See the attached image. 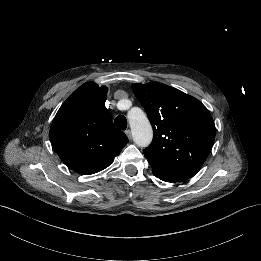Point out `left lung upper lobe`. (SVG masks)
Wrapping results in <instances>:
<instances>
[{
	"label": "left lung upper lobe",
	"mask_w": 261,
	"mask_h": 261,
	"mask_svg": "<svg viewBox=\"0 0 261 261\" xmlns=\"http://www.w3.org/2000/svg\"><path fill=\"white\" fill-rule=\"evenodd\" d=\"M152 124V143L144 156L153 174L182 182L193 177L211 152L215 124L196 98L162 83L133 84Z\"/></svg>",
	"instance_id": "5c2ea615"
}]
</instances>
